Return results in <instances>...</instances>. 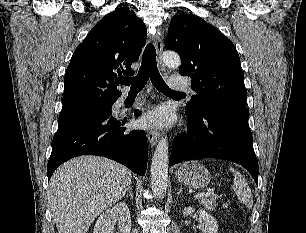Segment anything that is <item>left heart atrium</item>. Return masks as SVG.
<instances>
[{
    "label": "left heart atrium",
    "mask_w": 306,
    "mask_h": 233,
    "mask_svg": "<svg viewBox=\"0 0 306 233\" xmlns=\"http://www.w3.org/2000/svg\"><path fill=\"white\" fill-rule=\"evenodd\" d=\"M171 113L165 107H157L145 113L139 123L144 128H161L170 123Z\"/></svg>",
    "instance_id": "obj_1"
}]
</instances>
